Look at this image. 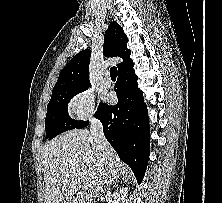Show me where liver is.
<instances>
[{"label":"liver","instance_id":"liver-1","mask_svg":"<svg viewBox=\"0 0 222 203\" xmlns=\"http://www.w3.org/2000/svg\"><path fill=\"white\" fill-rule=\"evenodd\" d=\"M45 203H61L76 194L81 182L89 183L92 197L102 193L106 181L125 176L124 164L111 148L103 159L95 140L86 129L71 130L47 142L43 149Z\"/></svg>","mask_w":222,"mask_h":203}]
</instances>
